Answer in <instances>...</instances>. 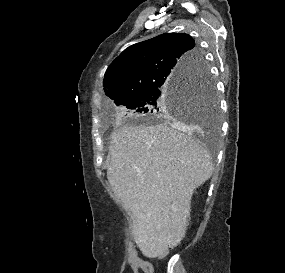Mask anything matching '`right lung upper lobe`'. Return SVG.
Masks as SVG:
<instances>
[{"label":"right lung upper lobe","mask_w":285,"mask_h":273,"mask_svg":"<svg viewBox=\"0 0 285 273\" xmlns=\"http://www.w3.org/2000/svg\"><path fill=\"white\" fill-rule=\"evenodd\" d=\"M203 66L190 35L165 33L124 50L106 70L104 91L121 105L155 86L197 73Z\"/></svg>","instance_id":"right-lung-upper-lobe-1"}]
</instances>
